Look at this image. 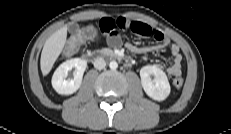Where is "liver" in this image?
Returning <instances> with one entry per match:
<instances>
[{"mask_svg":"<svg viewBox=\"0 0 231 134\" xmlns=\"http://www.w3.org/2000/svg\"><path fill=\"white\" fill-rule=\"evenodd\" d=\"M66 39L67 26H64L46 40L40 58V67L44 76L51 71L55 61L65 46Z\"/></svg>","mask_w":231,"mask_h":134,"instance_id":"6515ba94","label":"liver"}]
</instances>
